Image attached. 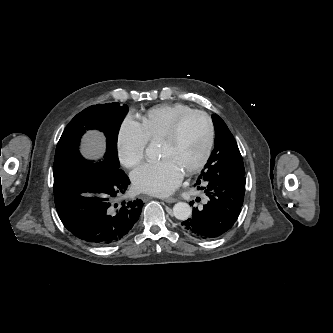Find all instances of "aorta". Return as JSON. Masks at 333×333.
Wrapping results in <instances>:
<instances>
[{
  "instance_id": "obj_1",
  "label": "aorta",
  "mask_w": 333,
  "mask_h": 333,
  "mask_svg": "<svg viewBox=\"0 0 333 333\" xmlns=\"http://www.w3.org/2000/svg\"><path fill=\"white\" fill-rule=\"evenodd\" d=\"M146 153L149 157L155 156V151L152 148H147ZM192 213V209L188 203L178 202L173 207V214L179 220H187Z\"/></svg>"
}]
</instances>
